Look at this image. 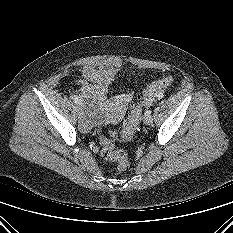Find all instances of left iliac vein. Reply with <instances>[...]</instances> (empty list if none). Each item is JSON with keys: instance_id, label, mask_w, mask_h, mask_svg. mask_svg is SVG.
I'll return each instance as SVG.
<instances>
[{"instance_id": "1", "label": "left iliac vein", "mask_w": 233, "mask_h": 233, "mask_svg": "<svg viewBox=\"0 0 233 233\" xmlns=\"http://www.w3.org/2000/svg\"><path fill=\"white\" fill-rule=\"evenodd\" d=\"M144 122H145V124H147V125L152 124V122H153V117L151 116V114H145V116H144Z\"/></svg>"}]
</instances>
